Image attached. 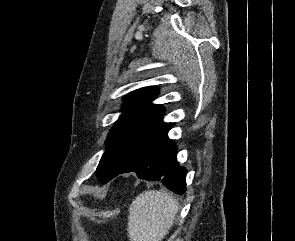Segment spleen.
I'll use <instances>...</instances> for the list:
<instances>
[{
    "label": "spleen",
    "instance_id": "1",
    "mask_svg": "<svg viewBox=\"0 0 295 241\" xmlns=\"http://www.w3.org/2000/svg\"><path fill=\"white\" fill-rule=\"evenodd\" d=\"M178 209V201L165 191L142 192L129 207L127 231L130 241H162Z\"/></svg>",
    "mask_w": 295,
    "mask_h": 241
}]
</instances>
